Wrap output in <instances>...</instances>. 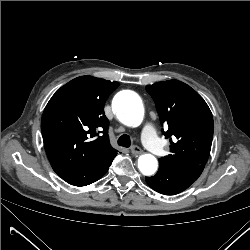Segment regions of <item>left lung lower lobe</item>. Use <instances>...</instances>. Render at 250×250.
<instances>
[{
  "mask_svg": "<svg viewBox=\"0 0 250 250\" xmlns=\"http://www.w3.org/2000/svg\"><path fill=\"white\" fill-rule=\"evenodd\" d=\"M200 165L168 167L159 165L155 176L146 177L147 184L165 195H175L187 189L203 171Z\"/></svg>",
  "mask_w": 250,
  "mask_h": 250,
  "instance_id": "0a47b994",
  "label": "left lung lower lobe"
}]
</instances>
